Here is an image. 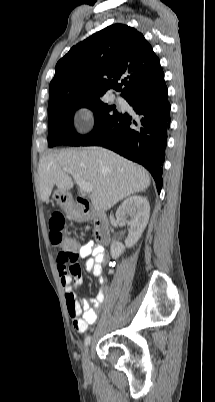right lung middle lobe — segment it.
Returning <instances> with one entry per match:
<instances>
[{
  "instance_id": "dd1d6c3e",
  "label": "right lung middle lobe",
  "mask_w": 215,
  "mask_h": 402,
  "mask_svg": "<svg viewBox=\"0 0 215 402\" xmlns=\"http://www.w3.org/2000/svg\"><path fill=\"white\" fill-rule=\"evenodd\" d=\"M86 98L60 97L48 103V145L80 146L85 136L76 134L73 130V113L86 107L95 115V126L91 133H98L114 121L121 111L114 106L103 103L101 97ZM90 133V134H91Z\"/></svg>"
}]
</instances>
